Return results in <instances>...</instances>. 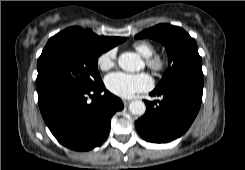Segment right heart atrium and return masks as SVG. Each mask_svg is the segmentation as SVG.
Segmentation results:
<instances>
[{
    "mask_svg": "<svg viewBox=\"0 0 245 170\" xmlns=\"http://www.w3.org/2000/svg\"><path fill=\"white\" fill-rule=\"evenodd\" d=\"M116 60H117L116 50L109 49L98 57L97 64L101 70L106 71L115 65Z\"/></svg>",
    "mask_w": 245,
    "mask_h": 170,
    "instance_id": "right-heart-atrium-1",
    "label": "right heart atrium"
}]
</instances>
